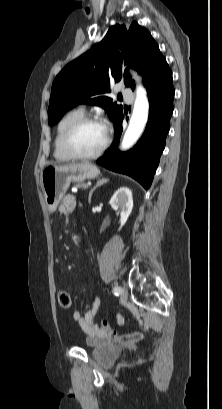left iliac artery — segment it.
Returning a JSON list of instances; mask_svg holds the SVG:
<instances>
[{"mask_svg":"<svg viewBox=\"0 0 222 409\" xmlns=\"http://www.w3.org/2000/svg\"><path fill=\"white\" fill-rule=\"evenodd\" d=\"M115 295H119L121 293V288L119 286H115L112 290Z\"/></svg>","mask_w":222,"mask_h":409,"instance_id":"44dca946","label":"left iliac artery"}]
</instances>
